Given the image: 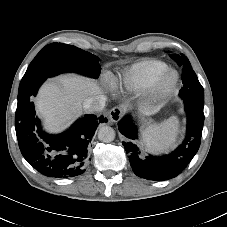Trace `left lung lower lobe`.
<instances>
[{"mask_svg": "<svg viewBox=\"0 0 227 227\" xmlns=\"http://www.w3.org/2000/svg\"><path fill=\"white\" fill-rule=\"evenodd\" d=\"M187 113V132L183 143L172 153L164 156L143 155L136 142L137 128L130 116H125L118 123L119 131L127 137L123 142L129 155L134 173L148 180H168L182 172L197 153L204 124V97H181Z\"/></svg>", "mask_w": 227, "mask_h": 227, "instance_id": "obj_1", "label": "left lung lower lobe"}]
</instances>
